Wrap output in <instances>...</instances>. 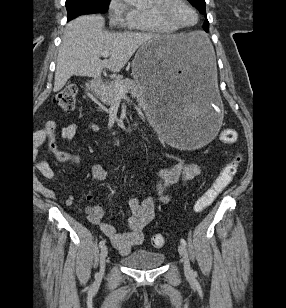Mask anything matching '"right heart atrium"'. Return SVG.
Returning <instances> with one entry per match:
<instances>
[{
	"label": "right heart atrium",
	"instance_id": "1",
	"mask_svg": "<svg viewBox=\"0 0 286 308\" xmlns=\"http://www.w3.org/2000/svg\"><path fill=\"white\" fill-rule=\"evenodd\" d=\"M132 9L126 0H109L108 17L113 25L129 26L131 22Z\"/></svg>",
	"mask_w": 286,
	"mask_h": 308
}]
</instances>
